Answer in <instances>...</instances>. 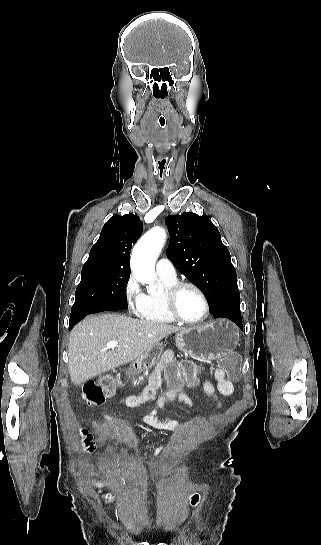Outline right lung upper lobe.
<instances>
[{
  "label": "right lung upper lobe",
  "mask_w": 321,
  "mask_h": 545,
  "mask_svg": "<svg viewBox=\"0 0 321 545\" xmlns=\"http://www.w3.org/2000/svg\"><path fill=\"white\" fill-rule=\"evenodd\" d=\"M142 229L143 224L136 215L112 216L104 224L83 270L105 269L112 272H130V250L132 243L140 237Z\"/></svg>",
  "instance_id": "right-lung-upper-lobe-1"
}]
</instances>
